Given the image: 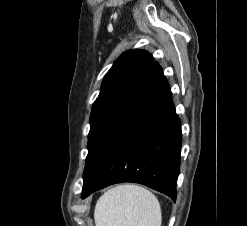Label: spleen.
<instances>
[{"mask_svg": "<svg viewBox=\"0 0 247 226\" xmlns=\"http://www.w3.org/2000/svg\"><path fill=\"white\" fill-rule=\"evenodd\" d=\"M96 226H161V208L153 193L137 185H119L97 201Z\"/></svg>", "mask_w": 247, "mask_h": 226, "instance_id": "spleen-1", "label": "spleen"}]
</instances>
